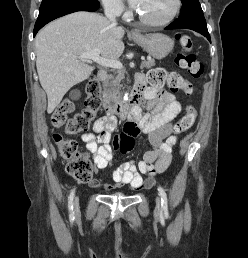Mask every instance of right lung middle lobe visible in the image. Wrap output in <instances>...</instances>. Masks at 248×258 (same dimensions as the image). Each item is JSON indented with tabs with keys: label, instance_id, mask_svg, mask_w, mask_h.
I'll return each mask as SVG.
<instances>
[{
	"label": "right lung middle lobe",
	"instance_id": "obj_1",
	"mask_svg": "<svg viewBox=\"0 0 248 258\" xmlns=\"http://www.w3.org/2000/svg\"><path fill=\"white\" fill-rule=\"evenodd\" d=\"M77 1H80V0H43L40 6V12L57 5L68 4V3L77 2ZM95 1H98V0H95Z\"/></svg>",
	"mask_w": 248,
	"mask_h": 258
}]
</instances>
